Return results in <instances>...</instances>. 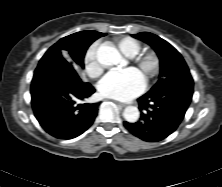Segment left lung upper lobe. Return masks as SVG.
Listing matches in <instances>:
<instances>
[{"mask_svg": "<svg viewBox=\"0 0 222 187\" xmlns=\"http://www.w3.org/2000/svg\"><path fill=\"white\" fill-rule=\"evenodd\" d=\"M133 36L151 45L160 60L159 80L148 93H164L175 99L183 89V82L193 80L183 57L172 45L155 34L141 32Z\"/></svg>", "mask_w": 222, "mask_h": 187, "instance_id": "left-lung-upper-lobe-1", "label": "left lung upper lobe"}]
</instances>
